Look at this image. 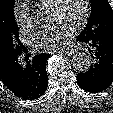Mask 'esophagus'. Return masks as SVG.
<instances>
[{
  "label": "esophagus",
  "instance_id": "obj_1",
  "mask_svg": "<svg viewBox=\"0 0 113 113\" xmlns=\"http://www.w3.org/2000/svg\"><path fill=\"white\" fill-rule=\"evenodd\" d=\"M59 53H65V54L68 55V56H72V55L75 53V50L68 48V49L59 51Z\"/></svg>",
  "mask_w": 113,
  "mask_h": 113
}]
</instances>
